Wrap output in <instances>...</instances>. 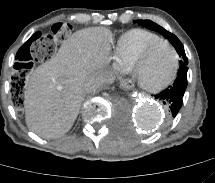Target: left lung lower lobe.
I'll list each match as a JSON object with an SVG mask.
<instances>
[{"mask_svg":"<svg viewBox=\"0 0 215 183\" xmlns=\"http://www.w3.org/2000/svg\"><path fill=\"white\" fill-rule=\"evenodd\" d=\"M187 70L186 65L180 66L173 85L155 95L156 99L166 105L168 119L176 117L182 106L183 96L187 87Z\"/></svg>","mask_w":215,"mask_h":183,"instance_id":"1","label":"left lung lower lobe"}]
</instances>
